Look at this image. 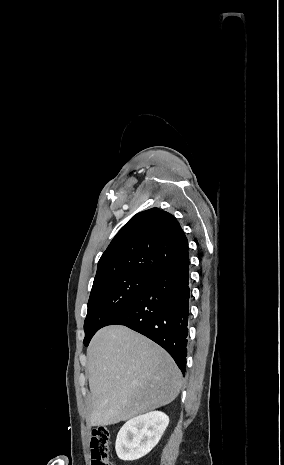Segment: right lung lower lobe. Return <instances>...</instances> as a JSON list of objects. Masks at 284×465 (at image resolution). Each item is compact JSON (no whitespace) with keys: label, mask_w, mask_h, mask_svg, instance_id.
<instances>
[{"label":"right lung lower lobe","mask_w":284,"mask_h":465,"mask_svg":"<svg viewBox=\"0 0 284 465\" xmlns=\"http://www.w3.org/2000/svg\"><path fill=\"white\" fill-rule=\"evenodd\" d=\"M189 256L153 277L105 324L125 325L163 347L184 374L190 305Z\"/></svg>","instance_id":"1"}]
</instances>
